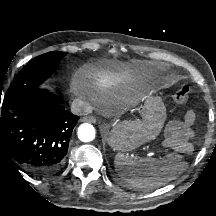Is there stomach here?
Masks as SVG:
<instances>
[{
	"label": "stomach",
	"mask_w": 216,
	"mask_h": 216,
	"mask_svg": "<svg viewBox=\"0 0 216 216\" xmlns=\"http://www.w3.org/2000/svg\"><path fill=\"white\" fill-rule=\"evenodd\" d=\"M142 120L114 124L107 133L108 144L118 151H132L154 140L164 125L166 108L160 97L146 96L141 106Z\"/></svg>",
	"instance_id": "stomach-1"
}]
</instances>
